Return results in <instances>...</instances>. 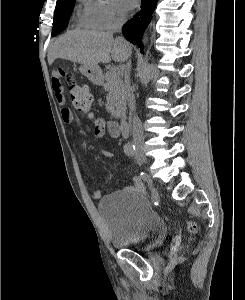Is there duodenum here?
<instances>
[{
	"label": "duodenum",
	"mask_w": 245,
	"mask_h": 300,
	"mask_svg": "<svg viewBox=\"0 0 245 300\" xmlns=\"http://www.w3.org/2000/svg\"><path fill=\"white\" fill-rule=\"evenodd\" d=\"M119 128L123 136L128 134L129 124L125 116H120L119 118Z\"/></svg>",
	"instance_id": "410a0bca"
}]
</instances>
